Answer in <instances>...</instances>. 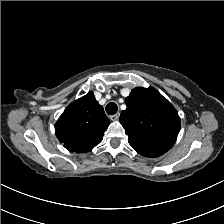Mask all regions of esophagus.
I'll return each mask as SVG.
<instances>
[{
  "label": "esophagus",
  "mask_w": 224,
  "mask_h": 224,
  "mask_svg": "<svg viewBox=\"0 0 224 224\" xmlns=\"http://www.w3.org/2000/svg\"><path fill=\"white\" fill-rule=\"evenodd\" d=\"M120 117V113H115L114 115L109 116L110 120L116 121Z\"/></svg>",
  "instance_id": "34e87169"
}]
</instances>
